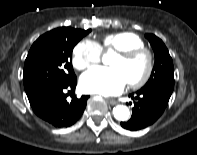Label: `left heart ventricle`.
<instances>
[{"label":"left heart ventricle","mask_w":197,"mask_h":155,"mask_svg":"<svg viewBox=\"0 0 197 155\" xmlns=\"http://www.w3.org/2000/svg\"><path fill=\"white\" fill-rule=\"evenodd\" d=\"M110 66L119 69L128 83L138 80L144 74L146 59L144 56L124 59L116 54L111 59Z\"/></svg>","instance_id":"left-heart-ventricle-1"}]
</instances>
